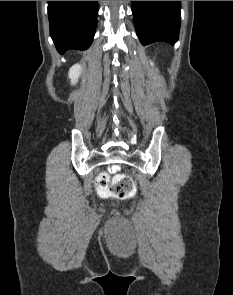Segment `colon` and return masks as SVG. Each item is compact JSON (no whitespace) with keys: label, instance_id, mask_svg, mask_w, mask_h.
Instances as JSON below:
<instances>
[{"label":"colon","instance_id":"1","mask_svg":"<svg viewBox=\"0 0 233 295\" xmlns=\"http://www.w3.org/2000/svg\"><path fill=\"white\" fill-rule=\"evenodd\" d=\"M96 187L102 196L120 200L132 198L136 192L135 183L132 178L122 174L110 180L108 174L101 173L97 176Z\"/></svg>","mask_w":233,"mask_h":295}]
</instances>
